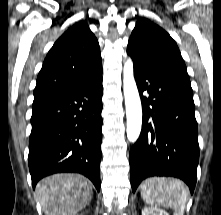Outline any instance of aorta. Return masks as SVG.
Wrapping results in <instances>:
<instances>
[{
    "mask_svg": "<svg viewBox=\"0 0 221 215\" xmlns=\"http://www.w3.org/2000/svg\"><path fill=\"white\" fill-rule=\"evenodd\" d=\"M123 91L126 105L127 138L130 142H135L141 132L142 107L133 75V62L130 58L124 63Z\"/></svg>",
    "mask_w": 221,
    "mask_h": 215,
    "instance_id": "762f6f07",
    "label": "aorta"
}]
</instances>
